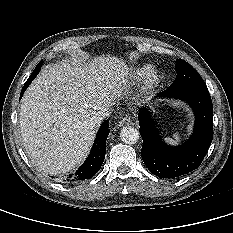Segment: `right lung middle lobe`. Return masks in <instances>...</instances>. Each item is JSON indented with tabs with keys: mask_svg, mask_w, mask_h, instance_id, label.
Here are the masks:
<instances>
[{
	"mask_svg": "<svg viewBox=\"0 0 233 233\" xmlns=\"http://www.w3.org/2000/svg\"><path fill=\"white\" fill-rule=\"evenodd\" d=\"M42 63H43L42 61H40V62L38 63V65L36 66V68L34 69V71H33L32 74H37V72H35V70L39 71L40 68H41V66H42Z\"/></svg>",
	"mask_w": 233,
	"mask_h": 233,
	"instance_id": "obj_1",
	"label": "right lung middle lobe"
}]
</instances>
